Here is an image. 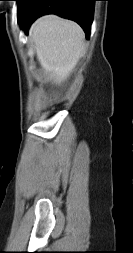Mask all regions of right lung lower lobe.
Masks as SVG:
<instances>
[{
    "label": "right lung lower lobe",
    "mask_w": 133,
    "mask_h": 253,
    "mask_svg": "<svg viewBox=\"0 0 133 253\" xmlns=\"http://www.w3.org/2000/svg\"><path fill=\"white\" fill-rule=\"evenodd\" d=\"M96 0H28L18 18L21 27L28 33L29 26L38 17L56 14L76 21L89 38Z\"/></svg>",
    "instance_id": "right-lung-lower-lobe-1"
}]
</instances>
